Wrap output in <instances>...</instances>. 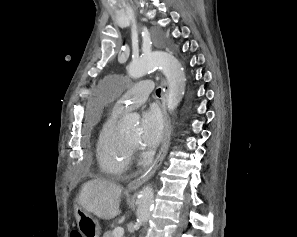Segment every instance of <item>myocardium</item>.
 Segmentation results:
<instances>
[{"label": "myocardium", "mask_w": 297, "mask_h": 237, "mask_svg": "<svg viewBox=\"0 0 297 237\" xmlns=\"http://www.w3.org/2000/svg\"><path fill=\"white\" fill-rule=\"evenodd\" d=\"M123 140L131 150H135L137 148L136 144L128 141L125 137H123Z\"/></svg>", "instance_id": "1"}]
</instances>
